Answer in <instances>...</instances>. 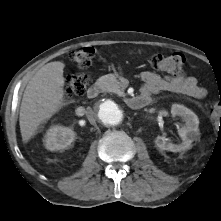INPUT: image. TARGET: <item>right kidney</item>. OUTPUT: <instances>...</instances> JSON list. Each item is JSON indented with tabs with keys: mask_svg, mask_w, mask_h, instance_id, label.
<instances>
[{
	"mask_svg": "<svg viewBox=\"0 0 221 221\" xmlns=\"http://www.w3.org/2000/svg\"><path fill=\"white\" fill-rule=\"evenodd\" d=\"M75 138L72 129L64 126H52L45 135L44 144L50 151L65 149Z\"/></svg>",
	"mask_w": 221,
	"mask_h": 221,
	"instance_id": "obj_1",
	"label": "right kidney"
}]
</instances>
